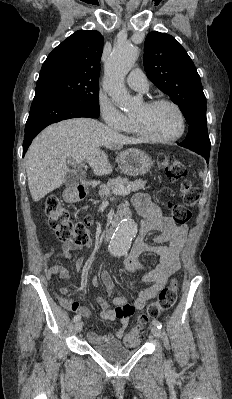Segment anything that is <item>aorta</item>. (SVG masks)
<instances>
[{
    "instance_id": "762f6f07",
    "label": "aorta",
    "mask_w": 232,
    "mask_h": 399,
    "mask_svg": "<svg viewBox=\"0 0 232 399\" xmlns=\"http://www.w3.org/2000/svg\"><path fill=\"white\" fill-rule=\"evenodd\" d=\"M139 55L137 47L124 45L116 47L111 53L105 66L104 88L112 100L121 109H133L137 100L127 91L124 79L135 64ZM137 233V225L132 219L123 220L114 233L108 250L111 255H125L133 237Z\"/></svg>"
}]
</instances>
